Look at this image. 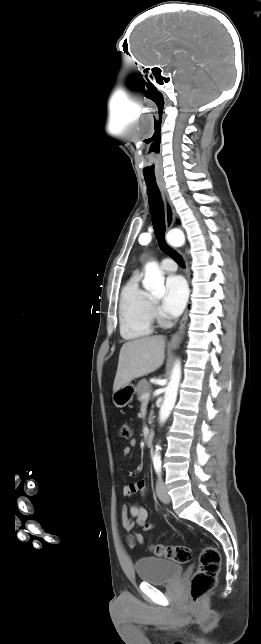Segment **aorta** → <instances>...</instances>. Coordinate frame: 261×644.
Segmentation results:
<instances>
[{
    "label": "aorta",
    "instance_id": "762f6f07",
    "mask_svg": "<svg viewBox=\"0 0 261 644\" xmlns=\"http://www.w3.org/2000/svg\"><path fill=\"white\" fill-rule=\"evenodd\" d=\"M168 240L172 244L182 242L184 240V235L181 232H170V234L168 235ZM143 287L152 295L157 297H161L165 293L163 272L160 270L158 264L155 261L148 262L145 265ZM180 379L181 364L177 360L173 366L170 381L166 387L164 400L159 411V420L161 423H164L168 419L175 405ZM159 449L160 447L157 446L154 458L160 457L158 451Z\"/></svg>",
    "mask_w": 261,
    "mask_h": 644
}]
</instances>
